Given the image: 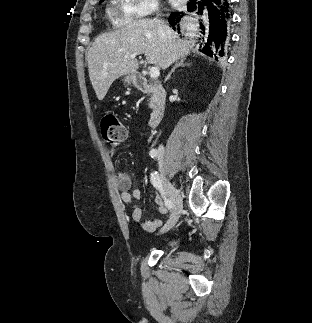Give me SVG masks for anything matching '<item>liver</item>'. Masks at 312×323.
<instances>
[{
    "label": "liver",
    "mask_w": 312,
    "mask_h": 323,
    "mask_svg": "<svg viewBox=\"0 0 312 323\" xmlns=\"http://www.w3.org/2000/svg\"><path fill=\"white\" fill-rule=\"evenodd\" d=\"M190 50L189 42L164 22L136 20L96 38L87 54L89 78L98 100H104L114 80L138 70L139 62L131 54H145L148 64L166 70Z\"/></svg>",
    "instance_id": "1"
}]
</instances>
